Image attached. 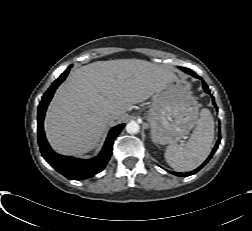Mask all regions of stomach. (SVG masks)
<instances>
[{
	"label": "stomach",
	"mask_w": 252,
	"mask_h": 231,
	"mask_svg": "<svg viewBox=\"0 0 252 231\" xmlns=\"http://www.w3.org/2000/svg\"><path fill=\"white\" fill-rule=\"evenodd\" d=\"M199 107L190 83L175 77L152 97L147 111L153 142L177 144L196 124Z\"/></svg>",
	"instance_id": "0dacf381"
}]
</instances>
